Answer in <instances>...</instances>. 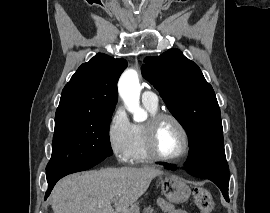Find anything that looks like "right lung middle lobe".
Listing matches in <instances>:
<instances>
[{
    "label": "right lung middle lobe",
    "instance_id": "obj_1",
    "mask_svg": "<svg viewBox=\"0 0 270 213\" xmlns=\"http://www.w3.org/2000/svg\"><path fill=\"white\" fill-rule=\"evenodd\" d=\"M110 113L56 114L52 156L47 172L104 160L112 155Z\"/></svg>",
    "mask_w": 270,
    "mask_h": 213
}]
</instances>
